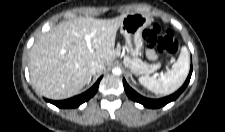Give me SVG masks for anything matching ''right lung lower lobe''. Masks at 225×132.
I'll return each mask as SVG.
<instances>
[{
  "label": "right lung lower lobe",
  "instance_id": "98d812e1",
  "mask_svg": "<svg viewBox=\"0 0 225 132\" xmlns=\"http://www.w3.org/2000/svg\"><path fill=\"white\" fill-rule=\"evenodd\" d=\"M101 78L102 77H100L97 80V82L89 90H87L86 92H84L78 96H75L73 98L63 100V101H52V100H47V101L56 105L59 108L78 107L79 105H81L82 103L89 100L91 97H93L95 95V93L98 90V86H99V82H100Z\"/></svg>",
  "mask_w": 225,
  "mask_h": 132
}]
</instances>
